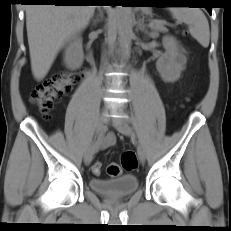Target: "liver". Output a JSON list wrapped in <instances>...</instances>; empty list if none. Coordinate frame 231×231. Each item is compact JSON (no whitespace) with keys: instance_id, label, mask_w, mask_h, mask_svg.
<instances>
[{"instance_id":"6515ba94","label":"liver","mask_w":231,"mask_h":231,"mask_svg":"<svg viewBox=\"0 0 231 231\" xmlns=\"http://www.w3.org/2000/svg\"><path fill=\"white\" fill-rule=\"evenodd\" d=\"M96 6L28 5L26 28L31 69L36 80L50 70L63 44L86 28Z\"/></svg>"}]
</instances>
